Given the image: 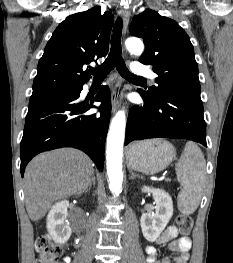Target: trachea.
I'll use <instances>...</instances> for the list:
<instances>
[{
    "label": "trachea",
    "mask_w": 233,
    "mask_h": 263,
    "mask_svg": "<svg viewBox=\"0 0 233 263\" xmlns=\"http://www.w3.org/2000/svg\"><path fill=\"white\" fill-rule=\"evenodd\" d=\"M122 25V19L118 17L111 36L110 53L106 60L100 66L91 69L90 73L94 76V79H102L105 78L114 67H116L120 75L130 81H146L145 78L132 74L126 67L121 56Z\"/></svg>",
    "instance_id": "1"
}]
</instances>
